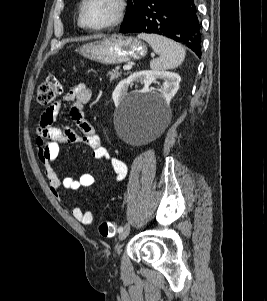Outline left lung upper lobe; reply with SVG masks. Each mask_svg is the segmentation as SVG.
I'll list each match as a JSON object with an SVG mask.
<instances>
[{"label": "left lung upper lobe", "instance_id": "left-lung-upper-lobe-1", "mask_svg": "<svg viewBox=\"0 0 267 301\" xmlns=\"http://www.w3.org/2000/svg\"><path fill=\"white\" fill-rule=\"evenodd\" d=\"M145 1L146 0H129L127 2L128 9L125 14L123 25L132 22L137 17Z\"/></svg>", "mask_w": 267, "mask_h": 301}]
</instances>
